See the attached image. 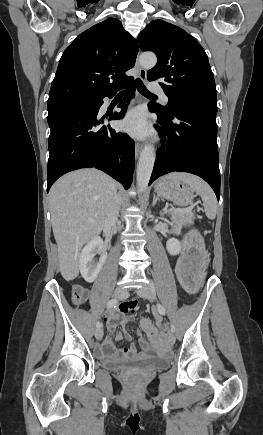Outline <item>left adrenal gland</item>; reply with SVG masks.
Instances as JSON below:
<instances>
[{
  "instance_id": "obj_1",
  "label": "left adrenal gland",
  "mask_w": 263,
  "mask_h": 435,
  "mask_svg": "<svg viewBox=\"0 0 263 435\" xmlns=\"http://www.w3.org/2000/svg\"><path fill=\"white\" fill-rule=\"evenodd\" d=\"M159 200H160V196L154 194V195H153V203H152V205L154 206V205L157 203V201H159Z\"/></svg>"
}]
</instances>
